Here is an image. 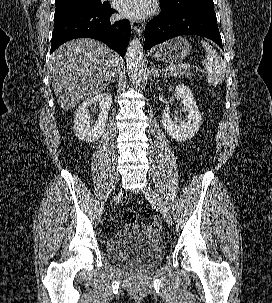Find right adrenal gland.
<instances>
[{"instance_id": "right-adrenal-gland-1", "label": "right adrenal gland", "mask_w": 272, "mask_h": 303, "mask_svg": "<svg viewBox=\"0 0 272 303\" xmlns=\"http://www.w3.org/2000/svg\"><path fill=\"white\" fill-rule=\"evenodd\" d=\"M115 77H116V74L113 75L111 81L108 83V85L112 84L115 82Z\"/></svg>"}]
</instances>
